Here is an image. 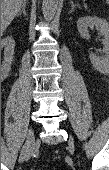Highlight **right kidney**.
Returning a JSON list of instances; mask_svg holds the SVG:
<instances>
[{
	"instance_id": "obj_1",
	"label": "right kidney",
	"mask_w": 109,
	"mask_h": 170,
	"mask_svg": "<svg viewBox=\"0 0 109 170\" xmlns=\"http://www.w3.org/2000/svg\"><path fill=\"white\" fill-rule=\"evenodd\" d=\"M1 47L4 49V60L1 64V75L6 78L11 69V63L13 60L15 41L12 37L3 38L1 40Z\"/></svg>"
}]
</instances>
